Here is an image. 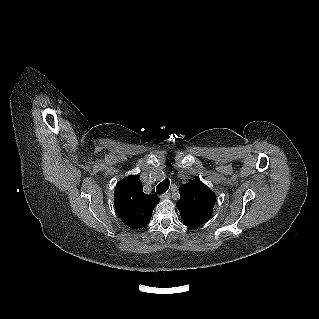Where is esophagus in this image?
<instances>
[{
  "label": "esophagus",
  "instance_id": "34e87169",
  "mask_svg": "<svg viewBox=\"0 0 319 319\" xmlns=\"http://www.w3.org/2000/svg\"><path fill=\"white\" fill-rule=\"evenodd\" d=\"M160 198H161L162 200H167V199H169V198H170V192H166V193L160 195Z\"/></svg>",
  "mask_w": 319,
  "mask_h": 319
}]
</instances>
